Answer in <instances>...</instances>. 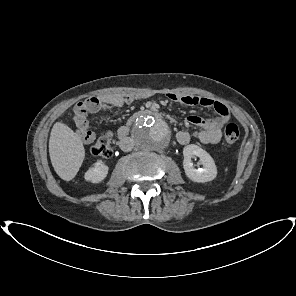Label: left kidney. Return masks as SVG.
Segmentation results:
<instances>
[{
    "label": "left kidney",
    "mask_w": 296,
    "mask_h": 296,
    "mask_svg": "<svg viewBox=\"0 0 296 296\" xmlns=\"http://www.w3.org/2000/svg\"><path fill=\"white\" fill-rule=\"evenodd\" d=\"M183 168L186 176L197 183H204L212 181L217 176V167L213 158L203 150L201 147L190 144L184 147L183 149ZM199 157L200 163L203 165V168L196 169L193 166L192 159Z\"/></svg>",
    "instance_id": "5707ae66"
}]
</instances>
